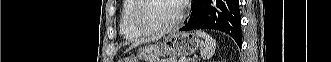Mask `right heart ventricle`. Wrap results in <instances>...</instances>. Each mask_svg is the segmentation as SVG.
Segmentation results:
<instances>
[{
	"mask_svg": "<svg viewBox=\"0 0 331 62\" xmlns=\"http://www.w3.org/2000/svg\"><path fill=\"white\" fill-rule=\"evenodd\" d=\"M135 4L136 0H125L121 7L119 29L121 35L129 41L137 40L143 36L142 33L135 29L132 23V12Z\"/></svg>",
	"mask_w": 331,
	"mask_h": 62,
	"instance_id": "right-heart-ventricle-1",
	"label": "right heart ventricle"
}]
</instances>
